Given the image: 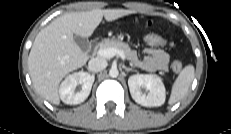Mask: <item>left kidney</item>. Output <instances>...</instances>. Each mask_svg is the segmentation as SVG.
Masks as SVG:
<instances>
[{
    "label": "left kidney",
    "instance_id": "obj_1",
    "mask_svg": "<svg viewBox=\"0 0 231 134\" xmlns=\"http://www.w3.org/2000/svg\"><path fill=\"white\" fill-rule=\"evenodd\" d=\"M128 86L132 98L142 106L156 107L161 106L165 102L166 90L164 84L155 75H132L128 79Z\"/></svg>",
    "mask_w": 231,
    "mask_h": 134
}]
</instances>
